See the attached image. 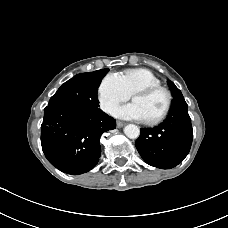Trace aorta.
Wrapping results in <instances>:
<instances>
[{"label": "aorta", "mask_w": 228, "mask_h": 228, "mask_svg": "<svg viewBox=\"0 0 228 228\" xmlns=\"http://www.w3.org/2000/svg\"><path fill=\"white\" fill-rule=\"evenodd\" d=\"M125 135L130 139H136L140 135V129L134 124H129L124 128Z\"/></svg>", "instance_id": "1"}]
</instances>
